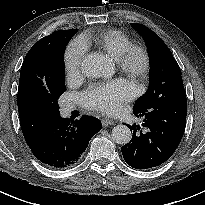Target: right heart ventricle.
I'll use <instances>...</instances> for the list:
<instances>
[{"label": "right heart ventricle", "instance_id": "e07e8e85", "mask_svg": "<svg viewBox=\"0 0 205 205\" xmlns=\"http://www.w3.org/2000/svg\"><path fill=\"white\" fill-rule=\"evenodd\" d=\"M93 44L118 62L133 45V41L121 30L108 29L96 32L93 36Z\"/></svg>", "mask_w": 205, "mask_h": 205}]
</instances>
